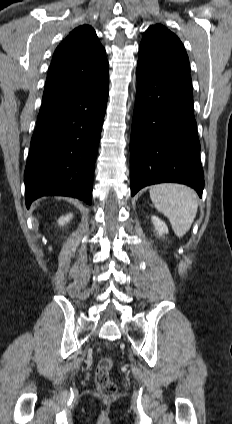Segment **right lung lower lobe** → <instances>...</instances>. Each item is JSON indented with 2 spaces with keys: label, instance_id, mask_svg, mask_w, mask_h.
Returning a JSON list of instances; mask_svg holds the SVG:
<instances>
[{
  "label": "right lung lower lobe",
  "instance_id": "1",
  "mask_svg": "<svg viewBox=\"0 0 232 424\" xmlns=\"http://www.w3.org/2000/svg\"><path fill=\"white\" fill-rule=\"evenodd\" d=\"M108 99L101 86L42 99L26 163V206L45 195L91 204L94 166Z\"/></svg>",
  "mask_w": 232,
  "mask_h": 424
}]
</instances>
